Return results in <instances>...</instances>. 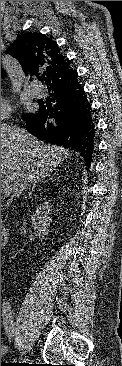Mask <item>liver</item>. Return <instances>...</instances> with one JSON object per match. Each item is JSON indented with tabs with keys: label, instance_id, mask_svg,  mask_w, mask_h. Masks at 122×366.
I'll return each instance as SVG.
<instances>
[{
	"label": "liver",
	"instance_id": "liver-1",
	"mask_svg": "<svg viewBox=\"0 0 122 366\" xmlns=\"http://www.w3.org/2000/svg\"><path fill=\"white\" fill-rule=\"evenodd\" d=\"M70 156L69 150L45 144L26 130L1 124V178L13 196L48 175Z\"/></svg>",
	"mask_w": 122,
	"mask_h": 366
}]
</instances>
